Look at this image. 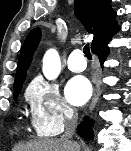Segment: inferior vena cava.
I'll list each match as a JSON object with an SVG mask.
<instances>
[{
	"mask_svg": "<svg viewBox=\"0 0 131 151\" xmlns=\"http://www.w3.org/2000/svg\"><path fill=\"white\" fill-rule=\"evenodd\" d=\"M77 127V115L73 113L72 109H69L66 113V120H65V133L62 136V140L68 141L72 138L75 130ZM79 148V146H76ZM80 151V149H77Z\"/></svg>",
	"mask_w": 131,
	"mask_h": 151,
	"instance_id": "602c4592",
	"label": "inferior vena cava"
}]
</instances>
